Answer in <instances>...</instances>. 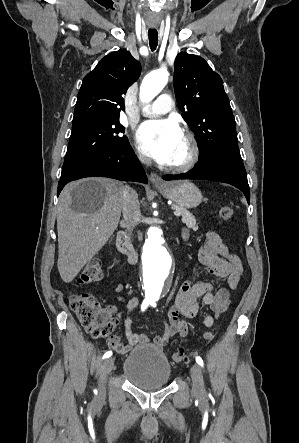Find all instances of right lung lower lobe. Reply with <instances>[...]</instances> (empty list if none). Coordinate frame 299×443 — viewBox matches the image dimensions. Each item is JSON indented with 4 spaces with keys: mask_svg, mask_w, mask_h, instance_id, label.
Instances as JSON below:
<instances>
[{
    "mask_svg": "<svg viewBox=\"0 0 299 443\" xmlns=\"http://www.w3.org/2000/svg\"><path fill=\"white\" fill-rule=\"evenodd\" d=\"M85 177H109L122 181L148 183L146 174L131 146L121 153L99 157L61 175L57 196L68 182Z\"/></svg>",
    "mask_w": 299,
    "mask_h": 443,
    "instance_id": "right-lung-lower-lobe-1",
    "label": "right lung lower lobe"
}]
</instances>
